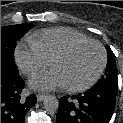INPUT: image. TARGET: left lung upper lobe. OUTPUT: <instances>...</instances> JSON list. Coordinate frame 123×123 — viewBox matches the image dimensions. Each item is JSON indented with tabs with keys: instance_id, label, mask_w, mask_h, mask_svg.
Instances as JSON below:
<instances>
[{
	"instance_id": "5c2ea615",
	"label": "left lung upper lobe",
	"mask_w": 123,
	"mask_h": 123,
	"mask_svg": "<svg viewBox=\"0 0 123 123\" xmlns=\"http://www.w3.org/2000/svg\"><path fill=\"white\" fill-rule=\"evenodd\" d=\"M106 49L108 54V62H107L105 75L94 86L117 89L118 81H117V71L114 63L115 55L108 45H106Z\"/></svg>"
}]
</instances>
